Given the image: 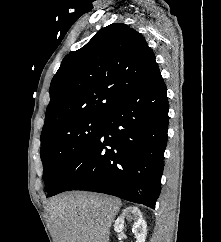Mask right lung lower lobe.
<instances>
[{
    "instance_id": "obj_1",
    "label": "right lung lower lobe",
    "mask_w": 221,
    "mask_h": 242,
    "mask_svg": "<svg viewBox=\"0 0 221 242\" xmlns=\"http://www.w3.org/2000/svg\"><path fill=\"white\" fill-rule=\"evenodd\" d=\"M168 109L158 72L103 115L98 134L67 167L50 196L86 190L154 209L161 190Z\"/></svg>"
}]
</instances>
